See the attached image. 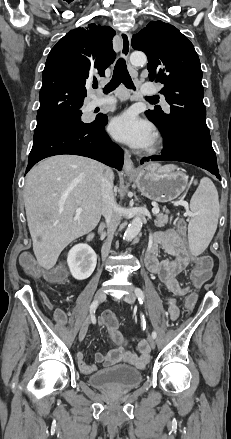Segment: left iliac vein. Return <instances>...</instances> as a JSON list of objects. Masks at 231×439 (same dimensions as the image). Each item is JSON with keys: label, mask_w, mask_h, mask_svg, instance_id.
Segmentation results:
<instances>
[{"label": "left iliac vein", "mask_w": 231, "mask_h": 439, "mask_svg": "<svg viewBox=\"0 0 231 439\" xmlns=\"http://www.w3.org/2000/svg\"><path fill=\"white\" fill-rule=\"evenodd\" d=\"M123 300L129 304H134L136 301V296L133 292H129L123 297ZM149 344L152 349L155 348V340L152 337H149Z\"/></svg>", "instance_id": "4c4485c4"}]
</instances>
